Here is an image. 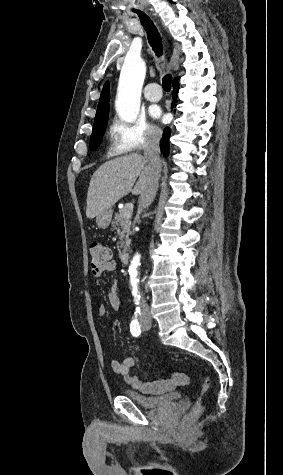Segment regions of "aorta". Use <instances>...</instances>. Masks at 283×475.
Wrapping results in <instances>:
<instances>
[{
	"mask_svg": "<svg viewBox=\"0 0 283 475\" xmlns=\"http://www.w3.org/2000/svg\"><path fill=\"white\" fill-rule=\"evenodd\" d=\"M146 74V66L142 59L127 58L123 64L116 99V111L125 122L134 121L140 110L141 90ZM140 254L136 253L129 266L130 282L134 302L139 301L137 275L140 265Z\"/></svg>",
	"mask_w": 283,
	"mask_h": 475,
	"instance_id": "aorta-1",
	"label": "aorta"
}]
</instances>
